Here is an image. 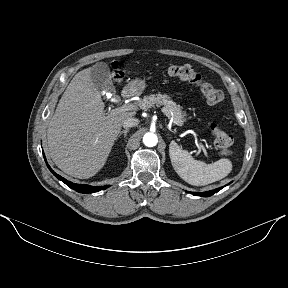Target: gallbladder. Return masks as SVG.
<instances>
[{
  "mask_svg": "<svg viewBox=\"0 0 288 288\" xmlns=\"http://www.w3.org/2000/svg\"><path fill=\"white\" fill-rule=\"evenodd\" d=\"M91 79L98 89H105L108 92L114 90L111 73L106 63L100 62L91 68Z\"/></svg>",
  "mask_w": 288,
  "mask_h": 288,
  "instance_id": "bac80fb5",
  "label": "gallbladder"
}]
</instances>
